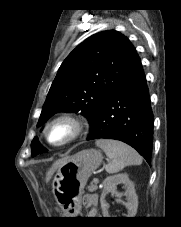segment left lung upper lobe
<instances>
[{
  "label": "left lung upper lobe",
  "instance_id": "5c2ea615",
  "mask_svg": "<svg viewBox=\"0 0 181 227\" xmlns=\"http://www.w3.org/2000/svg\"><path fill=\"white\" fill-rule=\"evenodd\" d=\"M137 57L133 45L117 31H103L87 38L61 64L37 126L56 112L81 111L93 127L110 94ZM31 151L32 156L46 151L37 137Z\"/></svg>",
  "mask_w": 181,
  "mask_h": 227
}]
</instances>
